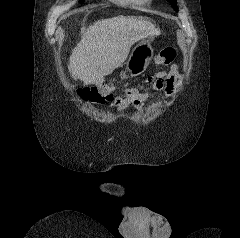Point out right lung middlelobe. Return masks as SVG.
<instances>
[{"label":"right lung middle lobe","mask_w":240,"mask_h":238,"mask_svg":"<svg viewBox=\"0 0 240 238\" xmlns=\"http://www.w3.org/2000/svg\"><path fill=\"white\" fill-rule=\"evenodd\" d=\"M84 2V0H80V3H83Z\"/></svg>","instance_id":"obj_1"}]
</instances>
